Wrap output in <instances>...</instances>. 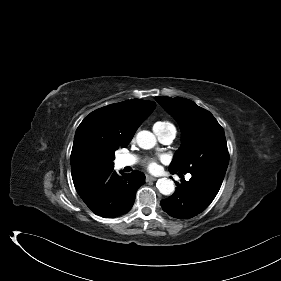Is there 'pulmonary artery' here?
<instances>
[{"label": "pulmonary artery", "instance_id": "pulmonary-artery-1", "mask_svg": "<svg viewBox=\"0 0 281 281\" xmlns=\"http://www.w3.org/2000/svg\"><path fill=\"white\" fill-rule=\"evenodd\" d=\"M154 131L157 134L159 140L164 144H170L176 136L175 128H170L165 131H156V130H154ZM135 163H136V158L134 156H123L120 159V164L123 167L131 166ZM190 178H191V175L188 174L187 179H190Z\"/></svg>", "mask_w": 281, "mask_h": 281}]
</instances>
